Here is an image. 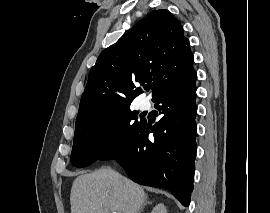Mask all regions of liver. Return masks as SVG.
Listing matches in <instances>:
<instances>
[{"label":"liver","instance_id":"6515ba94","mask_svg":"<svg viewBox=\"0 0 270 213\" xmlns=\"http://www.w3.org/2000/svg\"><path fill=\"white\" fill-rule=\"evenodd\" d=\"M144 189L110 168L78 176L72 184L71 213H138Z\"/></svg>","mask_w":270,"mask_h":213}]
</instances>
